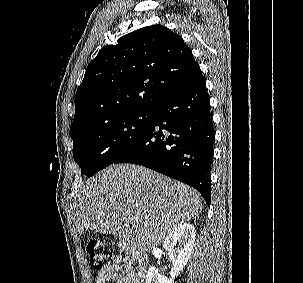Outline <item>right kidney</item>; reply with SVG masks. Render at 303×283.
I'll use <instances>...</instances> for the list:
<instances>
[{"label":"right kidney","mask_w":303,"mask_h":283,"mask_svg":"<svg viewBox=\"0 0 303 283\" xmlns=\"http://www.w3.org/2000/svg\"><path fill=\"white\" fill-rule=\"evenodd\" d=\"M195 236L196 230L191 224L184 223L174 228L163 243V248L172 262L170 278L159 274L156 268L151 266L147 271L146 283H174L175 277L180 274L189 260ZM177 242L178 247L176 248Z\"/></svg>","instance_id":"right-kidney-1"}]
</instances>
